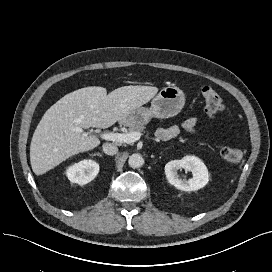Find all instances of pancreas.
Returning a JSON list of instances; mask_svg holds the SVG:
<instances>
[{
  "instance_id": "1",
  "label": "pancreas",
  "mask_w": 272,
  "mask_h": 272,
  "mask_svg": "<svg viewBox=\"0 0 272 272\" xmlns=\"http://www.w3.org/2000/svg\"><path fill=\"white\" fill-rule=\"evenodd\" d=\"M145 129L143 125H135V126H130L129 127V132H142Z\"/></svg>"
}]
</instances>
